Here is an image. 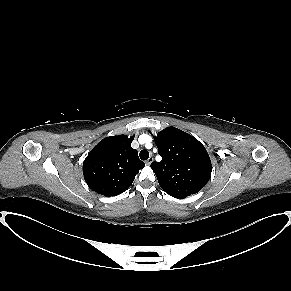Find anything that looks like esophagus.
<instances>
[{
  "label": "esophagus",
  "instance_id": "1",
  "mask_svg": "<svg viewBox=\"0 0 291 291\" xmlns=\"http://www.w3.org/2000/svg\"><path fill=\"white\" fill-rule=\"evenodd\" d=\"M153 157L152 156H150L146 161H145V164L146 165H151V163L153 162Z\"/></svg>",
  "mask_w": 291,
  "mask_h": 291
}]
</instances>
